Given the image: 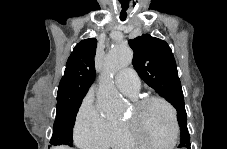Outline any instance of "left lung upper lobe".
<instances>
[{
    "mask_svg": "<svg viewBox=\"0 0 227 149\" xmlns=\"http://www.w3.org/2000/svg\"><path fill=\"white\" fill-rule=\"evenodd\" d=\"M129 45L134 51L133 65L140 78L177 110L181 129L179 147L190 148L183 92L171 48L149 34L129 40Z\"/></svg>",
    "mask_w": 227,
    "mask_h": 149,
    "instance_id": "1",
    "label": "left lung upper lobe"
}]
</instances>
